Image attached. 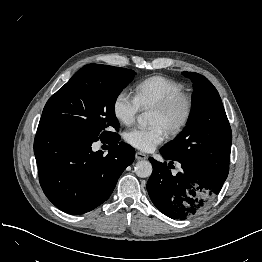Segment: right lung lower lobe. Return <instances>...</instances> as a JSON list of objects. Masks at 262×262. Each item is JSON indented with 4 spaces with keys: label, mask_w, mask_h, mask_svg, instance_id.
I'll return each instance as SVG.
<instances>
[{
    "label": "right lung lower lobe",
    "mask_w": 262,
    "mask_h": 262,
    "mask_svg": "<svg viewBox=\"0 0 262 262\" xmlns=\"http://www.w3.org/2000/svg\"><path fill=\"white\" fill-rule=\"evenodd\" d=\"M120 136L104 139L111 148L106 156L94 152L91 138L55 125L39 124L34 153L40 185L47 198L69 214H83L106 201L117 180L134 160L132 146Z\"/></svg>",
    "instance_id": "98d812e1"
}]
</instances>
